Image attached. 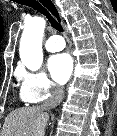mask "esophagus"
I'll return each instance as SVG.
<instances>
[{"instance_id": "obj_1", "label": "esophagus", "mask_w": 117, "mask_h": 136, "mask_svg": "<svg viewBox=\"0 0 117 136\" xmlns=\"http://www.w3.org/2000/svg\"><path fill=\"white\" fill-rule=\"evenodd\" d=\"M39 2L51 13L60 23H63L60 11L53 0H39Z\"/></svg>"}]
</instances>
